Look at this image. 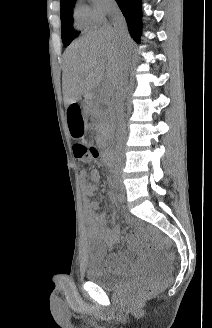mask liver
Masks as SVG:
<instances>
[{"mask_svg": "<svg viewBox=\"0 0 212 328\" xmlns=\"http://www.w3.org/2000/svg\"><path fill=\"white\" fill-rule=\"evenodd\" d=\"M129 45L128 34L121 38L111 26L74 41L64 52V102L71 104L100 85L111 94Z\"/></svg>", "mask_w": 212, "mask_h": 328, "instance_id": "liver-1", "label": "liver"}]
</instances>
